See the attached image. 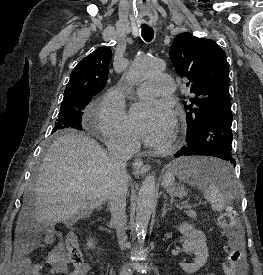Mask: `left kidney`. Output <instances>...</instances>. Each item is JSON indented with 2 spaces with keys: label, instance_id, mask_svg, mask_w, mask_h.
I'll return each mask as SVG.
<instances>
[{
  "label": "left kidney",
  "instance_id": "obj_1",
  "mask_svg": "<svg viewBox=\"0 0 263 275\" xmlns=\"http://www.w3.org/2000/svg\"><path fill=\"white\" fill-rule=\"evenodd\" d=\"M178 230L184 236L183 250L195 255L193 263H180L181 268L191 274L198 271L208 260L207 239L202 231L185 222Z\"/></svg>",
  "mask_w": 263,
  "mask_h": 275
}]
</instances>
